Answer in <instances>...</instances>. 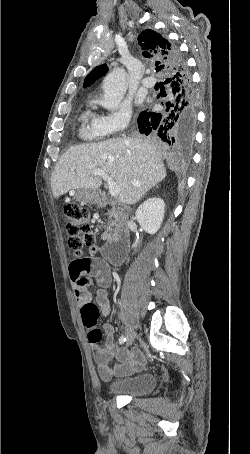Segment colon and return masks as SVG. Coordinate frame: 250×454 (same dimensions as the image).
Returning a JSON list of instances; mask_svg holds the SVG:
<instances>
[{"label":"colon","instance_id":"5ec220e1","mask_svg":"<svg viewBox=\"0 0 250 454\" xmlns=\"http://www.w3.org/2000/svg\"><path fill=\"white\" fill-rule=\"evenodd\" d=\"M65 215L68 220L69 246L78 258H85L81 257L84 250L95 253V236L91 230L88 210L76 203H69L65 206ZM80 312L83 324L89 330L90 343H98L102 338L101 330L96 327L100 315L98 307L93 303L85 304Z\"/></svg>","mask_w":250,"mask_h":454}]
</instances>
